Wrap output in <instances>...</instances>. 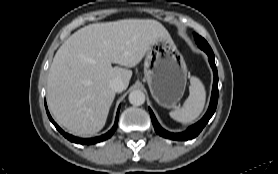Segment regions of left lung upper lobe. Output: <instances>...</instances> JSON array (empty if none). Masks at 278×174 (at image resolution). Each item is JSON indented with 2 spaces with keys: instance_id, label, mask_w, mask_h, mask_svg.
<instances>
[{
  "instance_id": "5c2ea615",
  "label": "left lung upper lobe",
  "mask_w": 278,
  "mask_h": 174,
  "mask_svg": "<svg viewBox=\"0 0 278 174\" xmlns=\"http://www.w3.org/2000/svg\"><path fill=\"white\" fill-rule=\"evenodd\" d=\"M196 43L198 45V47L204 51H212L211 47L209 46V44L207 43V41L202 38L201 36H199L198 34H194Z\"/></svg>"
}]
</instances>
